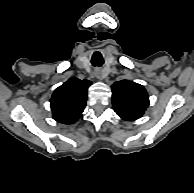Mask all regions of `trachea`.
<instances>
[{
  "label": "trachea",
  "instance_id": "1",
  "mask_svg": "<svg viewBox=\"0 0 194 193\" xmlns=\"http://www.w3.org/2000/svg\"><path fill=\"white\" fill-rule=\"evenodd\" d=\"M95 62H97V63H98V65H96V66H101V65L103 64V60H102V58H100L99 60L95 61V59H94V57H93V59H92V63L94 64Z\"/></svg>",
  "mask_w": 194,
  "mask_h": 193
}]
</instances>
